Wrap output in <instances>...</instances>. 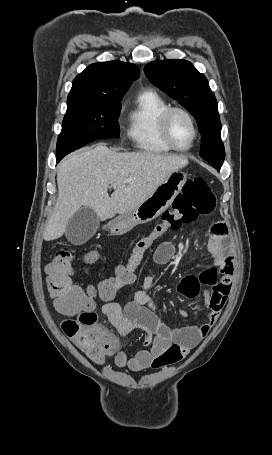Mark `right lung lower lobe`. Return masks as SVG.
I'll return each instance as SVG.
<instances>
[{
  "label": "right lung lower lobe",
  "mask_w": 272,
  "mask_h": 455,
  "mask_svg": "<svg viewBox=\"0 0 272 455\" xmlns=\"http://www.w3.org/2000/svg\"><path fill=\"white\" fill-rule=\"evenodd\" d=\"M63 157L61 156H57L56 159H57V162H59Z\"/></svg>",
  "instance_id": "1"
}]
</instances>
